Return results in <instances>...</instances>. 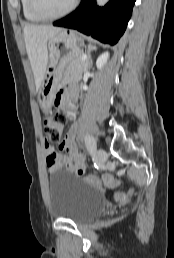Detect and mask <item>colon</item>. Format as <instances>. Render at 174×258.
I'll return each instance as SVG.
<instances>
[{
	"label": "colon",
	"mask_w": 174,
	"mask_h": 258,
	"mask_svg": "<svg viewBox=\"0 0 174 258\" xmlns=\"http://www.w3.org/2000/svg\"><path fill=\"white\" fill-rule=\"evenodd\" d=\"M65 125L66 117L63 113L56 112L46 118V120L44 121V131L47 140L53 143L58 142L64 131ZM85 181L97 187H101L103 185L98 178L93 176L85 177ZM133 195L134 190L131 189L127 193L116 194V199L120 202H127L131 199Z\"/></svg>",
	"instance_id": "obj_1"
}]
</instances>
